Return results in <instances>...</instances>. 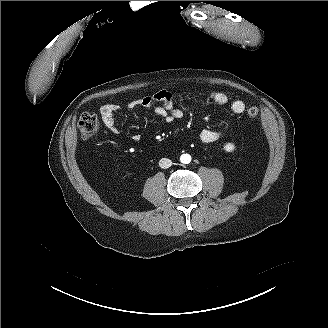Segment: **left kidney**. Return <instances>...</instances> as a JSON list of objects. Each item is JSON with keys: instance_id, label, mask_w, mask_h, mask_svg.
I'll list each match as a JSON object with an SVG mask.
<instances>
[{"instance_id": "5707ae66", "label": "left kidney", "mask_w": 328, "mask_h": 328, "mask_svg": "<svg viewBox=\"0 0 328 328\" xmlns=\"http://www.w3.org/2000/svg\"><path fill=\"white\" fill-rule=\"evenodd\" d=\"M224 149H225L226 151H232V150L234 149V145L231 144V143H228V144H226V145L224 146Z\"/></svg>"}]
</instances>
